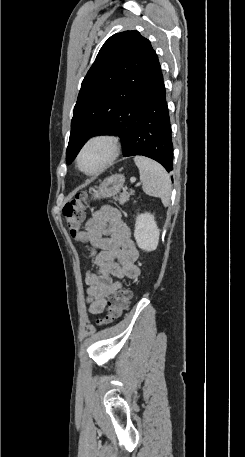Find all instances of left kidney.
<instances>
[{
	"label": "left kidney",
	"instance_id": "1",
	"mask_svg": "<svg viewBox=\"0 0 245 457\" xmlns=\"http://www.w3.org/2000/svg\"><path fill=\"white\" fill-rule=\"evenodd\" d=\"M135 241L142 251H155L159 243L160 229L156 224L154 214L144 212L138 214L134 231Z\"/></svg>",
	"mask_w": 245,
	"mask_h": 457
}]
</instances>
